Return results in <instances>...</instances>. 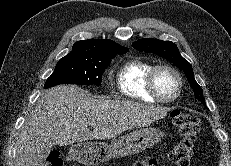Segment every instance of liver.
<instances>
[{
	"mask_svg": "<svg viewBox=\"0 0 231 166\" xmlns=\"http://www.w3.org/2000/svg\"><path fill=\"white\" fill-rule=\"evenodd\" d=\"M167 112L165 107L134 101L95 99L75 85L56 86L41 95L21 128L15 146L17 166H43L55 144L113 139L148 126Z\"/></svg>",
	"mask_w": 231,
	"mask_h": 166,
	"instance_id": "1",
	"label": "liver"
}]
</instances>
